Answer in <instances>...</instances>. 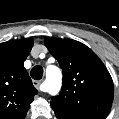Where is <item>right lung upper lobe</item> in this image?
<instances>
[{"label":"right lung upper lobe","instance_id":"obj_1","mask_svg":"<svg viewBox=\"0 0 119 119\" xmlns=\"http://www.w3.org/2000/svg\"><path fill=\"white\" fill-rule=\"evenodd\" d=\"M33 41L0 43V119H24L38 93L23 66Z\"/></svg>","mask_w":119,"mask_h":119}]
</instances>
